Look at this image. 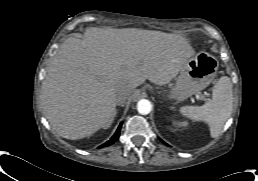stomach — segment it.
<instances>
[{
  "mask_svg": "<svg viewBox=\"0 0 258 181\" xmlns=\"http://www.w3.org/2000/svg\"><path fill=\"white\" fill-rule=\"evenodd\" d=\"M217 70L218 62L214 56L203 51L197 53L186 61L176 82L171 85L168 96L177 101L187 99L206 88L215 78Z\"/></svg>",
  "mask_w": 258,
  "mask_h": 181,
  "instance_id": "0dacf381",
  "label": "stomach"
}]
</instances>
